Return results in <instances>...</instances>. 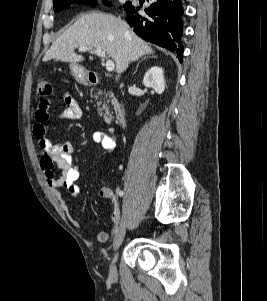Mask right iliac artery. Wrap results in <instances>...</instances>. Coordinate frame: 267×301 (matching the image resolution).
I'll use <instances>...</instances> for the list:
<instances>
[{"instance_id": "1", "label": "right iliac artery", "mask_w": 267, "mask_h": 301, "mask_svg": "<svg viewBox=\"0 0 267 301\" xmlns=\"http://www.w3.org/2000/svg\"><path fill=\"white\" fill-rule=\"evenodd\" d=\"M118 194H119V196H123V191H119ZM116 231H117V229H116Z\"/></svg>"}]
</instances>
